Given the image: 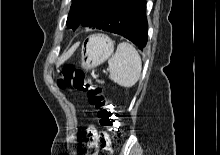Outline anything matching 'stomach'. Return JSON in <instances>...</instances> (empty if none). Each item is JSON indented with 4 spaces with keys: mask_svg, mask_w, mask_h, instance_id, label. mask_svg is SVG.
Masks as SVG:
<instances>
[{
    "mask_svg": "<svg viewBox=\"0 0 220 155\" xmlns=\"http://www.w3.org/2000/svg\"><path fill=\"white\" fill-rule=\"evenodd\" d=\"M114 51L113 41L105 34L90 36L82 46L81 63L86 70L98 66Z\"/></svg>",
    "mask_w": 220,
    "mask_h": 155,
    "instance_id": "0dacf381",
    "label": "stomach"
}]
</instances>
